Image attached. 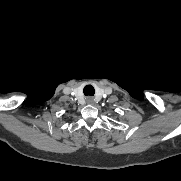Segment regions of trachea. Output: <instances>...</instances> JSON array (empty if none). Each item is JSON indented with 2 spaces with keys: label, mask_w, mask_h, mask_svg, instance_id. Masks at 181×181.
Masks as SVG:
<instances>
[{
  "label": "trachea",
  "mask_w": 181,
  "mask_h": 181,
  "mask_svg": "<svg viewBox=\"0 0 181 181\" xmlns=\"http://www.w3.org/2000/svg\"><path fill=\"white\" fill-rule=\"evenodd\" d=\"M84 95L93 96L95 93L94 87L92 85H86L83 89Z\"/></svg>",
  "instance_id": "obj_1"
}]
</instances>
